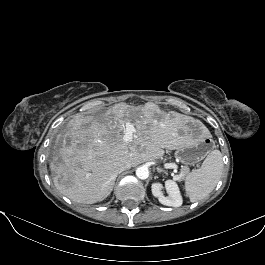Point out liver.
I'll return each instance as SVG.
<instances>
[{"label": "liver", "mask_w": 265, "mask_h": 265, "mask_svg": "<svg viewBox=\"0 0 265 265\" xmlns=\"http://www.w3.org/2000/svg\"><path fill=\"white\" fill-rule=\"evenodd\" d=\"M136 110L125 103L110 107L98 116L75 115L56 140V156L50 162L55 187L77 203L93 204L112 191L117 165L132 166L153 161L164 149L184 147L191 139L185 126L193 118L162 111L156 105ZM133 121L134 137L125 142L126 123ZM58 157L61 162H58Z\"/></svg>", "instance_id": "obj_1"}]
</instances>
